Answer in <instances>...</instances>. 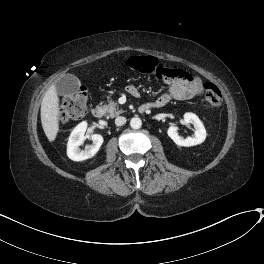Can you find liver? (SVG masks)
Listing matches in <instances>:
<instances>
[{
  "label": "liver",
  "instance_id": "liver-1",
  "mask_svg": "<svg viewBox=\"0 0 264 264\" xmlns=\"http://www.w3.org/2000/svg\"><path fill=\"white\" fill-rule=\"evenodd\" d=\"M59 97L56 85L52 84L44 95L41 104V123L46 137L53 142L59 132Z\"/></svg>",
  "mask_w": 264,
  "mask_h": 264
}]
</instances>
